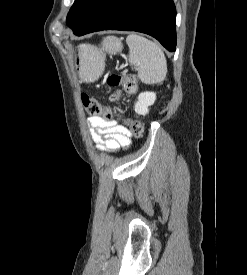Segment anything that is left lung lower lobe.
Masks as SVG:
<instances>
[{"instance_id": "0a47b994", "label": "left lung lower lobe", "mask_w": 247, "mask_h": 275, "mask_svg": "<svg viewBox=\"0 0 247 275\" xmlns=\"http://www.w3.org/2000/svg\"><path fill=\"white\" fill-rule=\"evenodd\" d=\"M101 30L142 32L172 52L176 46V8L172 0H102L73 33L82 36Z\"/></svg>"}]
</instances>
